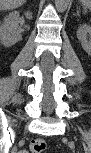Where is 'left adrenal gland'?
<instances>
[{
	"label": "left adrenal gland",
	"mask_w": 91,
	"mask_h": 153,
	"mask_svg": "<svg viewBox=\"0 0 91 153\" xmlns=\"http://www.w3.org/2000/svg\"><path fill=\"white\" fill-rule=\"evenodd\" d=\"M77 16H78V17L80 16V12H79V11H77Z\"/></svg>",
	"instance_id": "a2214340"
}]
</instances>
